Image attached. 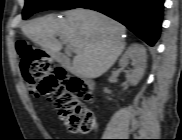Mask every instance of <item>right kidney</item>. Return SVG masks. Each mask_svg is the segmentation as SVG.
<instances>
[{
	"label": "right kidney",
	"instance_id": "1",
	"mask_svg": "<svg viewBox=\"0 0 182 140\" xmlns=\"http://www.w3.org/2000/svg\"><path fill=\"white\" fill-rule=\"evenodd\" d=\"M129 62L133 68L125 70L126 79L132 86H135L143 77L146 68V50L142 45L132 44L121 57L119 64L125 68Z\"/></svg>",
	"mask_w": 182,
	"mask_h": 140
}]
</instances>
